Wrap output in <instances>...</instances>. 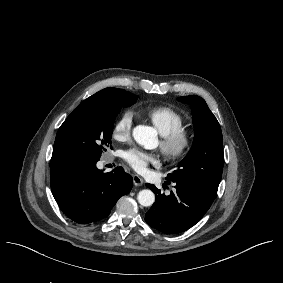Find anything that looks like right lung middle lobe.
Here are the masks:
<instances>
[{"label": "right lung middle lobe", "instance_id": "1", "mask_svg": "<svg viewBox=\"0 0 283 283\" xmlns=\"http://www.w3.org/2000/svg\"><path fill=\"white\" fill-rule=\"evenodd\" d=\"M137 96L119 92L108 97L81 103L57 132L55 144L68 162L100 158L109 147L116 116L121 108L133 105Z\"/></svg>", "mask_w": 283, "mask_h": 283}]
</instances>
